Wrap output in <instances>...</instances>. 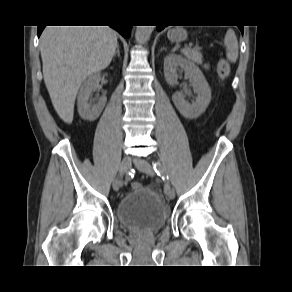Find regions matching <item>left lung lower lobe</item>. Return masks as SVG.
Here are the masks:
<instances>
[{
	"instance_id": "obj_1",
	"label": "left lung lower lobe",
	"mask_w": 292,
	"mask_h": 292,
	"mask_svg": "<svg viewBox=\"0 0 292 292\" xmlns=\"http://www.w3.org/2000/svg\"><path fill=\"white\" fill-rule=\"evenodd\" d=\"M164 25H158L157 26V31H161L162 29H164ZM239 27V29L241 30V32L243 33V27L242 26H238Z\"/></svg>"
}]
</instances>
